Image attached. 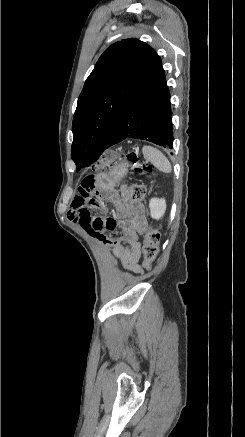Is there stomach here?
Here are the masks:
<instances>
[{"mask_svg":"<svg viewBox=\"0 0 245 437\" xmlns=\"http://www.w3.org/2000/svg\"><path fill=\"white\" fill-rule=\"evenodd\" d=\"M129 164L127 162H121L116 164L110 171L108 175L107 182L115 183L117 180L125 176L128 172Z\"/></svg>","mask_w":245,"mask_h":437,"instance_id":"obj_1","label":"stomach"}]
</instances>
